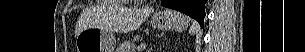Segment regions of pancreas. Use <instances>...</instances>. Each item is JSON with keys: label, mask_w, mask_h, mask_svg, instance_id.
I'll return each instance as SVG.
<instances>
[{"label": "pancreas", "mask_w": 305, "mask_h": 52, "mask_svg": "<svg viewBox=\"0 0 305 52\" xmlns=\"http://www.w3.org/2000/svg\"><path fill=\"white\" fill-rule=\"evenodd\" d=\"M135 51V40H128L122 43L118 47V52H134Z\"/></svg>", "instance_id": "1"}]
</instances>
